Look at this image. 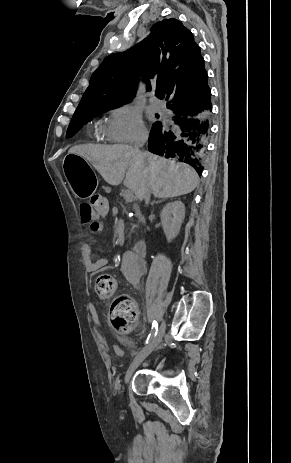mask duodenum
Returning <instances> with one entry per match:
<instances>
[{
	"mask_svg": "<svg viewBox=\"0 0 291 463\" xmlns=\"http://www.w3.org/2000/svg\"><path fill=\"white\" fill-rule=\"evenodd\" d=\"M133 250L139 256H145L147 252V242L145 240H139L136 242Z\"/></svg>",
	"mask_w": 291,
	"mask_h": 463,
	"instance_id": "410a0bca",
	"label": "duodenum"
}]
</instances>
